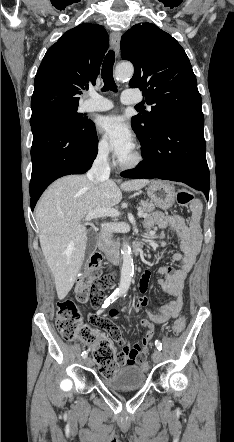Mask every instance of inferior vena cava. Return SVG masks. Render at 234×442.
<instances>
[{
  "instance_id": "inferior-vena-cava-1",
  "label": "inferior vena cava",
  "mask_w": 234,
  "mask_h": 442,
  "mask_svg": "<svg viewBox=\"0 0 234 442\" xmlns=\"http://www.w3.org/2000/svg\"><path fill=\"white\" fill-rule=\"evenodd\" d=\"M108 154L109 150L107 148H100L91 169L87 173V177L95 183L109 179L110 167ZM101 237L106 243H110L111 234L106 224L102 225Z\"/></svg>"
}]
</instances>
